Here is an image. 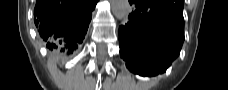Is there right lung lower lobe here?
<instances>
[{
    "instance_id": "right-lung-lower-lobe-1",
    "label": "right lung lower lobe",
    "mask_w": 228,
    "mask_h": 90,
    "mask_svg": "<svg viewBox=\"0 0 228 90\" xmlns=\"http://www.w3.org/2000/svg\"><path fill=\"white\" fill-rule=\"evenodd\" d=\"M98 0H36L34 23L46 47L71 54L82 43Z\"/></svg>"
}]
</instances>
